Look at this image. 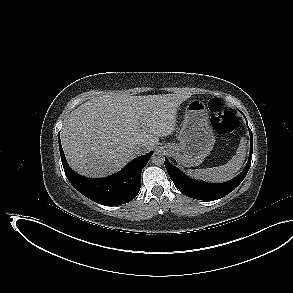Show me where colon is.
<instances>
[{
	"label": "colon",
	"instance_id": "colon-1",
	"mask_svg": "<svg viewBox=\"0 0 293 293\" xmlns=\"http://www.w3.org/2000/svg\"><path fill=\"white\" fill-rule=\"evenodd\" d=\"M211 113V125L216 132L229 134L236 130L239 125L237 116L224 108L218 98H212L208 102Z\"/></svg>",
	"mask_w": 293,
	"mask_h": 293
}]
</instances>
